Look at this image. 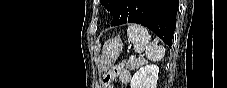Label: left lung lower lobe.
Instances as JSON below:
<instances>
[{"mask_svg": "<svg viewBox=\"0 0 227 88\" xmlns=\"http://www.w3.org/2000/svg\"><path fill=\"white\" fill-rule=\"evenodd\" d=\"M178 5L179 0H120L111 26L141 24L171 47Z\"/></svg>", "mask_w": 227, "mask_h": 88, "instance_id": "0a47b994", "label": "left lung lower lobe"}]
</instances>
